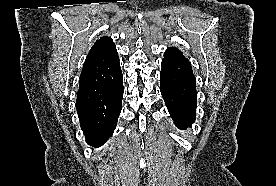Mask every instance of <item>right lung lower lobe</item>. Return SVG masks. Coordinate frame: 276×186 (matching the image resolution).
<instances>
[{"label": "right lung lower lobe", "mask_w": 276, "mask_h": 186, "mask_svg": "<svg viewBox=\"0 0 276 186\" xmlns=\"http://www.w3.org/2000/svg\"><path fill=\"white\" fill-rule=\"evenodd\" d=\"M123 76L95 86H79L76 108L88 144L99 147L112 136L122 108Z\"/></svg>", "instance_id": "obj_1"}]
</instances>
